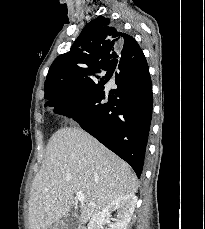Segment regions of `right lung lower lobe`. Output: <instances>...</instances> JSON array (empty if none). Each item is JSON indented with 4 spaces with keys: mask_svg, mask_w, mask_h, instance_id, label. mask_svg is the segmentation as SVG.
<instances>
[{
    "mask_svg": "<svg viewBox=\"0 0 205 229\" xmlns=\"http://www.w3.org/2000/svg\"><path fill=\"white\" fill-rule=\"evenodd\" d=\"M117 69V88L109 93L104 86H96L68 100H63L65 97L51 100L45 106L72 117L128 162L140 178L153 106L151 78L144 54L136 67Z\"/></svg>",
    "mask_w": 205,
    "mask_h": 229,
    "instance_id": "1",
    "label": "right lung lower lobe"
}]
</instances>
